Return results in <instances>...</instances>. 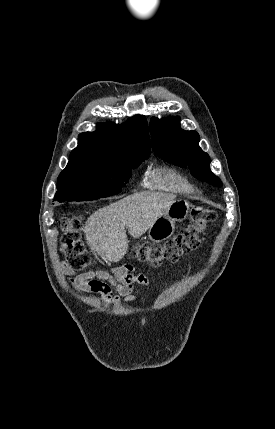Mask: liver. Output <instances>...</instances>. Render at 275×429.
Masks as SVG:
<instances>
[{
	"label": "liver",
	"mask_w": 275,
	"mask_h": 429,
	"mask_svg": "<svg viewBox=\"0 0 275 429\" xmlns=\"http://www.w3.org/2000/svg\"><path fill=\"white\" fill-rule=\"evenodd\" d=\"M175 202V195L140 192L95 211L84 233L90 248L111 261H120L128 250L125 227L134 238L142 236L162 213Z\"/></svg>",
	"instance_id": "1"
}]
</instances>
